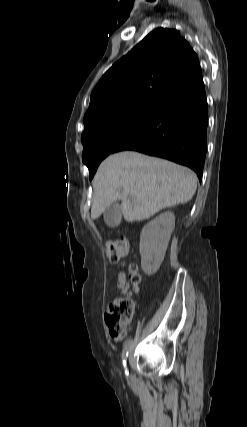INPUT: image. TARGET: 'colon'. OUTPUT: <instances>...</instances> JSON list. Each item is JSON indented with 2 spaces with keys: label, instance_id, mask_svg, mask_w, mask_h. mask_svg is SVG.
I'll use <instances>...</instances> for the list:
<instances>
[{
  "label": "colon",
  "instance_id": "colon-1",
  "mask_svg": "<svg viewBox=\"0 0 247 427\" xmlns=\"http://www.w3.org/2000/svg\"><path fill=\"white\" fill-rule=\"evenodd\" d=\"M131 252V245L126 236L110 240L105 245V253L111 263L119 262ZM131 281L133 289L137 290L141 275L136 266H131ZM135 304L130 296L117 297L108 307L105 321L110 336L115 340L122 339L134 315Z\"/></svg>",
  "mask_w": 247,
  "mask_h": 427
}]
</instances>
